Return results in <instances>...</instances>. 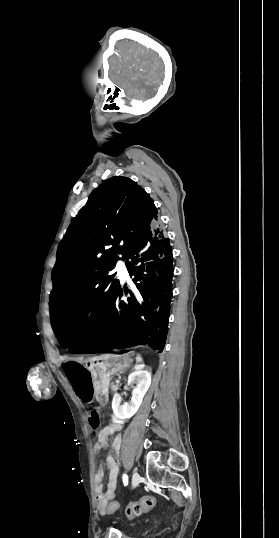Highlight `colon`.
<instances>
[{"label": "colon", "mask_w": 279, "mask_h": 538, "mask_svg": "<svg viewBox=\"0 0 279 538\" xmlns=\"http://www.w3.org/2000/svg\"><path fill=\"white\" fill-rule=\"evenodd\" d=\"M155 498L153 496H146L142 499L130 503L126 509L125 513L128 517H135L142 515L152 509L155 505ZM103 513H114L121 509L120 505L117 502H111L106 507L99 508Z\"/></svg>", "instance_id": "1"}]
</instances>
